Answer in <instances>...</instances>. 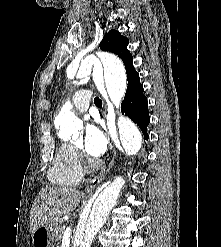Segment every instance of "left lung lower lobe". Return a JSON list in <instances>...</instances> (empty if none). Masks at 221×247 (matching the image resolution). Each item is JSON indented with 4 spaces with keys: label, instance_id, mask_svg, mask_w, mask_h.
Masks as SVG:
<instances>
[{
    "label": "left lung lower lobe",
    "instance_id": "left-lung-lower-lobe-1",
    "mask_svg": "<svg viewBox=\"0 0 221 247\" xmlns=\"http://www.w3.org/2000/svg\"><path fill=\"white\" fill-rule=\"evenodd\" d=\"M143 91L139 77L133 78L128 84L121 111L140 127L145 139H148L146 130L150 117L147 98L143 95Z\"/></svg>",
    "mask_w": 221,
    "mask_h": 247
}]
</instances>
